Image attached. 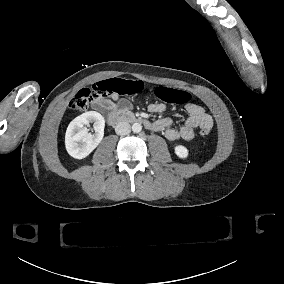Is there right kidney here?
I'll list each match as a JSON object with an SVG mask.
<instances>
[{"instance_id":"1","label":"right kidney","mask_w":284,"mask_h":284,"mask_svg":"<svg viewBox=\"0 0 284 284\" xmlns=\"http://www.w3.org/2000/svg\"><path fill=\"white\" fill-rule=\"evenodd\" d=\"M93 123L95 134L88 132L87 127ZM104 118L97 112L83 113L68 126L65 137L67 153L74 159H84L100 144L104 136Z\"/></svg>"}]
</instances>
